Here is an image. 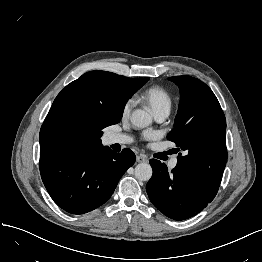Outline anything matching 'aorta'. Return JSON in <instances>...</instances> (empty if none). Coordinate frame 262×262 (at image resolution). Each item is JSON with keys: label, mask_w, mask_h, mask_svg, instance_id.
<instances>
[{"label": "aorta", "mask_w": 262, "mask_h": 262, "mask_svg": "<svg viewBox=\"0 0 262 262\" xmlns=\"http://www.w3.org/2000/svg\"><path fill=\"white\" fill-rule=\"evenodd\" d=\"M131 123L137 128H145L152 123L151 115L142 109H136L130 117ZM135 177L140 181H148L152 177V167L148 163H139L135 167Z\"/></svg>", "instance_id": "1"}]
</instances>
